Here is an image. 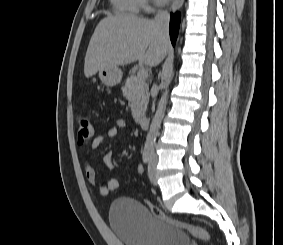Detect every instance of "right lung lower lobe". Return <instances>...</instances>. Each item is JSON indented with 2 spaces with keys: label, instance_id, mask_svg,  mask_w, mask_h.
<instances>
[{
  "label": "right lung lower lobe",
  "instance_id": "98d812e1",
  "mask_svg": "<svg viewBox=\"0 0 283 245\" xmlns=\"http://www.w3.org/2000/svg\"><path fill=\"white\" fill-rule=\"evenodd\" d=\"M179 24H180V15L178 13L174 15L171 14L169 30H170L171 42L173 45L175 44L178 35Z\"/></svg>",
  "mask_w": 283,
  "mask_h": 245
}]
</instances>
